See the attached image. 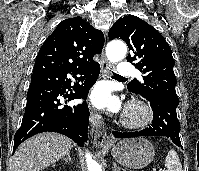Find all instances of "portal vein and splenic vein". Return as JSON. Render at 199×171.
Returning a JSON list of instances; mask_svg holds the SVG:
<instances>
[{
    "instance_id": "obj_1",
    "label": "portal vein and splenic vein",
    "mask_w": 199,
    "mask_h": 171,
    "mask_svg": "<svg viewBox=\"0 0 199 171\" xmlns=\"http://www.w3.org/2000/svg\"><path fill=\"white\" fill-rule=\"evenodd\" d=\"M154 171H156V169H154ZM159 171H166V170L161 168V169H159Z\"/></svg>"
}]
</instances>
